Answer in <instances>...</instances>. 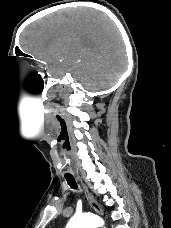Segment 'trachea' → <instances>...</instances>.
<instances>
[{
    "label": "trachea",
    "mask_w": 171,
    "mask_h": 228,
    "mask_svg": "<svg viewBox=\"0 0 171 228\" xmlns=\"http://www.w3.org/2000/svg\"><path fill=\"white\" fill-rule=\"evenodd\" d=\"M66 180H67V183L68 185L73 188V189H76L77 188V184H76V181L74 179L73 176L69 175V176H65Z\"/></svg>",
    "instance_id": "1"
}]
</instances>
